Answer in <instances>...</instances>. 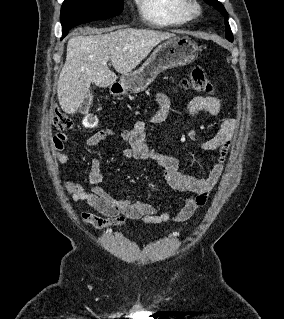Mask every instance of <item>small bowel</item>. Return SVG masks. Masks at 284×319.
I'll use <instances>...</instances> for the list:
<instances>
[{
    "mask_svg": "<svg viewBox=\"0 0 284 319\" xmlns=\"http://www.w3.org/2000/svg\"><path fill=\"white\" fill-rule=\"evenodd\" d=\"M157 110L152 117L153 122L165 119L169 98L160 93L156 97ZM221 101L214 97H195L187 105L190 115L207 112L218 115L221 112ZM237 130V122L232 118L221 121L215 134L202 144L205 152H217V162L202 176H193L179 169L178 161L172 156L151 149L145 141V123L139 120L131 129L121 131L122 139L128 143L123 156L136 160H153L164 169L168 185L176 191L185 193L182 208L174 214L163 211L160 205H152L142 201H133L127 195L122 199L114 198L102 186L103 173L101 161L92 162L90 172L85 181L64 180V186L73 202H86L92 211L81 213V220L97 229H109L122 225L126 220H142L147 224H160L169 221L185 222L203 207L211 190L217 184L224 170V163ZM115 135L111 128H104L86 140L89 147H94L106 138ZM68 136L58 133L52 140V152L57 162L64 164L69 160V152L65 150ZM87 187L89 189H87Z\"/></svg>",
    "mask_w": 284,
    "mask_h": 319,
    "instance_id": "obj_1",
    "label": "small bowel"
}]
</instances>
